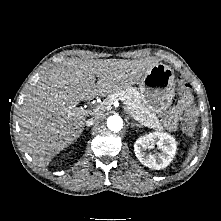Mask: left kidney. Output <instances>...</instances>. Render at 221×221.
<instances>
[{
	"label": "left kidney",
	"instance_id": "1",
	"mask_svg": "<svg viewBox=\"0 0 221 221\" xmlns=\"http://www.w3.org/2000/svg\"><path fill=\"white\" fill-rule=\"evenodd\" d=\"M160 149L158 155L147 153L153 145ZM177 150L175 139L168 133L152 132L139 137L134 144V152L138 160L146 167L160 170L173 160Z\"/></svg>",
	"mask_w": 221,
	"mask_h": 221
}]
</instances>
